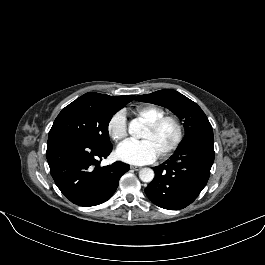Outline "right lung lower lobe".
<instances>
[{"mask_svg": "<svg viewBox=\"0 0 265 265\" xmlns=\"http://www.w3.org/2000/svg\"><path fill=\"white\" fill-rule=\"evenodd\" d=\"M112 151L81 136L60 134L48 137L46 157L55 184L72 203L96 206L116 191L120 177L129 165L115 162L100 166Z\"/></svg>", "mask_w": 265, "mask_h": 265, "instance_id": "right-lung-lower-lobe-1", "label": "right lung lower lobe"}]
</instances>
